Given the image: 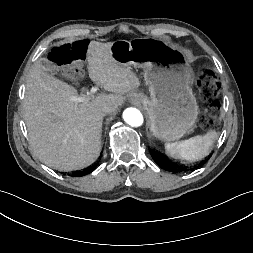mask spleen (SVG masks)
Here are the masks:
<instances>
[{"instance_id": "spleen-1", "label": "spleen", "mask_w": 253, "mask_h": 253, "mask_svg": "<svg viewBox=\"0 0 253 253\" xmlns=\"http://www.w3.org/2000/svg\"><path fill=\"white\" fill-rule=\"evenodd\" d=\"M217 136V132L211 130L203 136L198 135L180 142L166 143V154L174 159L186 161L200 160L210 153Z\"/></svg>"}]
</instances>
